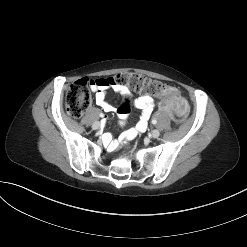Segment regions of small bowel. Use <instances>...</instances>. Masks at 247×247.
Here are the masks:
<instances>
[{
    "label": "small bowel",
    "instance_id": "1",
    "mask_svg": "<svg viewBox=\"0 0 247 247\" xmlns=\"http://www.w3.org/2000/svg\"><path fill=\"white\" fill-rule=\"evenodd\" d=\"M100 80V84H94L92 91L95 93V102L105 112L114 111V107L106 101V92L108 89L119 93L124 98H130L131 93L128 87L120 84L111 83L109 79H97ZM135 108L141 111L140 120L138 121L136 128L128 131L125 137L133 136L137 131H145L148 126V120L154 109V100L149 95H142L136 98L133 102ZM104 141L110 146L111 149H115L117 144L112 142L109 137H105Z\"/></svg>",
    "mask_w": 247,
    "mask_h": 247
}]
</instances>
